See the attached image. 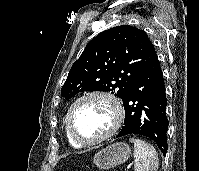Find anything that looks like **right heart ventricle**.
<instances>
[{"label":"right heart ventricle","instance_id":"obj_1","mask_svg":"<svg viewBox=\"0 0 199 171\" xmlns=\"http://www.w3.org/2000/svg\"><path fill=\"white\" fill-rule=\"evenodd\" d=\"M65 133H66V138H67V140H68V142H69V144H70L71 146L77 147V148L82 146L81 144L77 143V142L69 135V133H68V131H67L66 123H65Z\"/></svg>","mask_w":199,"mask_h":171}]
</instances>
